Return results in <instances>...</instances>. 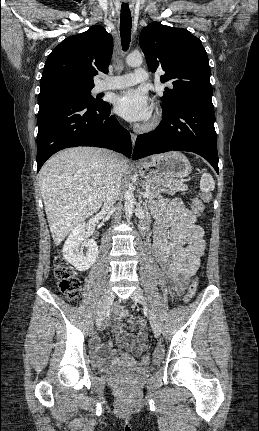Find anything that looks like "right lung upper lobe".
<instances>
[{
    "label": "right lung upper lobe",
    "mask_w": 259,
    "mask_h": 431,
    "mask_svg": "<svg viewBox=\"0 0 259 431\" xmlns=\"http://www.w3.org/2000/svg\"><path fill=\"white\" fill-rule=\"evenodd\" d=\"M112 51V36L100 25L66 38L48 56L40 88L56 81L93 88L94 76L108 72Z\"/></svg>",
    "instance_id": "1"
}]
</instances>
